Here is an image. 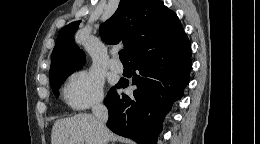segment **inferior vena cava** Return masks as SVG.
<instances>
[{
	"label": "inferior vena cava",
	"instance_id": "obj_1",
	"mask_svg": "<svg viewBox=\"0 0 260 144\" xmlns=\"http://www.w3.org/2000/svg\"><path fill=\"white\" fill-rule=\"evenodd\" d=\"M92 114L95 117L98 129L103 131L105 128V123L108 120V110L103 104L102 100H99L95 103L92 108Z\"/></svg>",
	"mask_w": 260,
	"mask_h": 144
}]
</instances>
